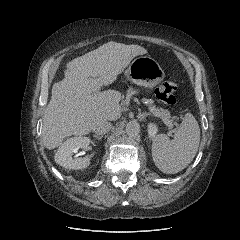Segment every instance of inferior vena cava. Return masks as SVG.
Instances as JSON below:
<instances>
[{
    "label": "inferior vena cava",
    "instance_id": "602c4592",
    "mask_svg": "<svg viewBox=\"0 0 240 240\" xmlns=\"http://www.w3.org/2000/svg\"><path fill=\"white\" fill-rule=\"evenodd\" d=\"M112 125L108 121H100L95 124L93 127V132L96 135H103L110 131Z\"/></svg>",
    "mask_w": 240,
    "mask_h": 240
}]
</instances>
